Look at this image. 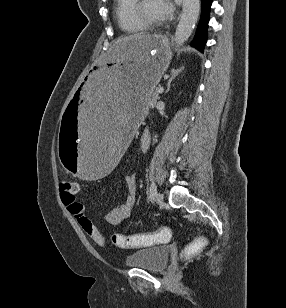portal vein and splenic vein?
I'll return each mask as SVG.
<instances>
[{
    "mask_svg": "<svg viewBox=\"0 0 286 308\" xmlns=\"http://www.w3.org/2000/svg\"><path fill=\"white\" fill-rule=\"evenodd\" d=\"M157 92H158V93H163V92H164V88H163V87H159V88L157 89Z\"/></svg>",
    "mask_w": 286,
    "mask_h": 308,
    "instance_id": "obj_1",
    "label": "portal vein and splenic vein"
}]
</instances>
